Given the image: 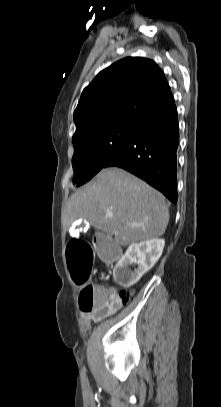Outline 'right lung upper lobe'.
<instances>
[{"label": "right lung upper lobe", "mask_w": 221, "mask_h": 407, "mask_svg": "<svg viewBox=\"0 0 221 407\" xmlns=\"http://www.w3.org/2000/svg\"><path fill=\"white\" fill-rule=\"evenodd\" d=\"M172 98L164 73L154 61L122 59L101 71L84 89L74 112L72 141L108 126L138 124Z\"/></svg>", "instance_id": "obj_1"}]
</instances>
